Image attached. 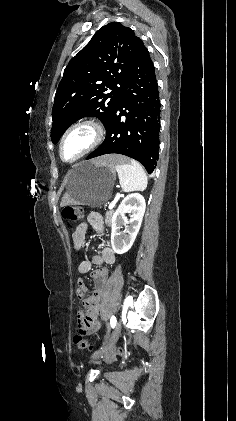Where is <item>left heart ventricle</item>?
<instances>
[{
    "mask_svg": "<svg viewBox=\"0 0 236 421\" xmlns=\"http://www.w3.org/2000/svg\"><path fill=\"white\" fill-rule=\"evenodd\" d=\"M91 138L92 134L88 129H79L71 133L63 144V160L67 163L75 160L88 146Z\"/></svg>",
    "mask_w": 236,
    "mask_h": 421,
    "instance_id": "left-heart-ventricle-1",
    "label": "left heart ventricle"
}]
</instances>
